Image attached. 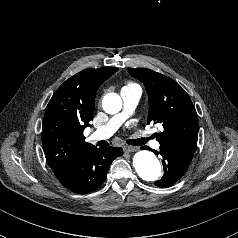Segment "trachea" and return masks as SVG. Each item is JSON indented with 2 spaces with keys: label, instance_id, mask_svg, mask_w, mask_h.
Segmentation results:
<instances>
[{
  "label": "trachea",
  "instance_id": "trachea-1",
  "mask_svg": "<svg viewBox=\"0 0 238 238\" xmlns=\"http://www.w3.org/2000/svg\"><path fill=\"white\" fill-rule=\"evenodd\" d=\"M148 139H145V138H141V139H135V140H128V144H131V145H135V146H140V145H144L146 142H147ZM103 144H108L107 142L105 141H102Z\"/></svg>",
  "mask_w": 238,
  "mask_h": 238
}]
</instances>
